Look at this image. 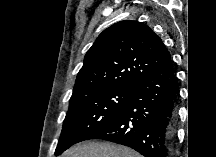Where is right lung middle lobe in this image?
<instances>
[{
	"instance_id": "right-lung-middle-lobe-1",
	"label": "right lung middle lobe",
	"mask_w": 216,
	"mask_h": 157,
	"mask_svg": "<svg viewBox=\"0 0 216 157\" xmlns=\"http://www.w3.org/2000/svg\"><path fill=\"white\" fill-rule=\"evenodd\" d=\"M132 86L92 91L69 105L55 154L91 137L111 123L128 102Z\"/></svg>"
}]
</instances>
